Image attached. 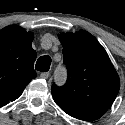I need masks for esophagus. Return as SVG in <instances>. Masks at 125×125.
<instances>
[{
    "label": "esophagus",
    "mask_w": 125,
    "mask_h": 125,
    "mask_svg": "<svg viewBox=\"0 0 125 125\" xmlns=\"http://www.w3.org/2000/svg\"><path fill=\"white\" fill-rule=\"evenodd\" d=\"M49 76H50V73H49V72H43V73L40 74V77H41L42 79H48Z\"/></svg>",
    "instance_id": "34e87169"
}]
</instances>
